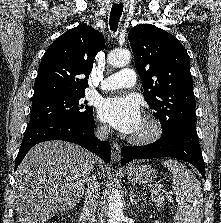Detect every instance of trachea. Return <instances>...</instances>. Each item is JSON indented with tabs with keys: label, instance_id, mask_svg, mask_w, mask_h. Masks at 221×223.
Segmentation results:
<instances>
[{
	"label": "trachea",
	"instance_id": "obj_1",
	"mask_svg": "<svg viewBox=\"0 0 221 223\" xmlns=\"http://www.w3.org/2000/svg\"><path fill=\"white\" fill-rule=\"evenodd\" d=\"M123 11V4H113L110 12L109 25L113 32L117 31L118 23Z\"/></svg>",
	"mask_w": 221,
	"mask_h": 223
}]
</instances>
